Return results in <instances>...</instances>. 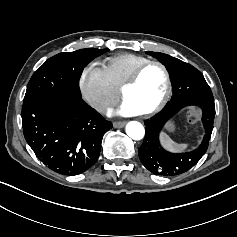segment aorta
<instances>
[{
	"label": "aorta",
	"mask_w": 237,
	"mask_h": 237,
	"mask_svg": "<svg viewBox=\"0 0 237 237\" xmlns=\"http://www.w3.org/2000/svg\"><path fill=\"white\" fill-rule=\"evenodd\" d=\"M126 134L133 140H141L145 135V129L140 122L130 121L126 125Z\"/></svg>",
	"instance_id": "aorta-1"
}]
</instances>
